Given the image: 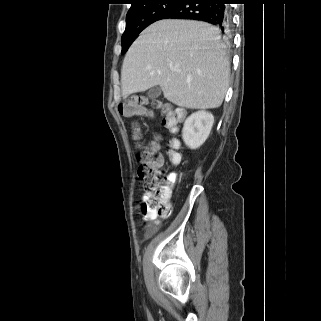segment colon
Returning <instances> with one entry per match:
<instances>
[{
	"mask_svg": "<svg viewBox=\"0 0 321 321\" xmlns=\"http://www.w3.org/2000/svg\"><path fill=\"white\" fill-rule=\"evenodd\" d=\"M148 104L149 101L143 97H131L119 105V111L127 117L146 115L149 113ZM151 105L160 112L164 126L175 131L177 124L183 119V112L170 103L161 100L152 101ZM178 146L176 140L171 142L172 149L168 156L173 163L180 161V155L176 151ZM136 160L137 174L144 181L146 195L139 206V212L144 217H168L172 212L170 190L161 182L164 161L157 152L156 146L153 144L149 148L139 150L136 154Z\"/></svg>",
	"mask_w": 321,
	"mask_h": 321,
	"instance_id": "1",
	"label": "colon"
}]
</instances>
